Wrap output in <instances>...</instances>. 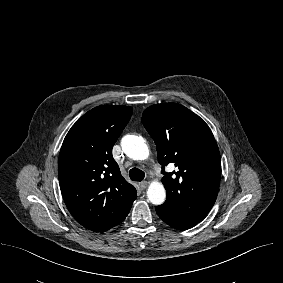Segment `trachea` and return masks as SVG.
I'll list each match as a JSON object with an SVG mask.
<instances>
[{
  "label": "trachea",
  "mask_w": 283,
  "mask_h": 283,
  "mask_svg": "<svg viewBox=\"0 0 283 283\" xmlns=\"http://www.w3.org/2000/svg\"><path fill=\"white\" fill-rule=\"evenodd\" d=\"M129 177L132 181H142L145 177V173L138 168H132L129 171Z\"/></svg>",
  "instance_id": "obj_1"
}]
</instances>
